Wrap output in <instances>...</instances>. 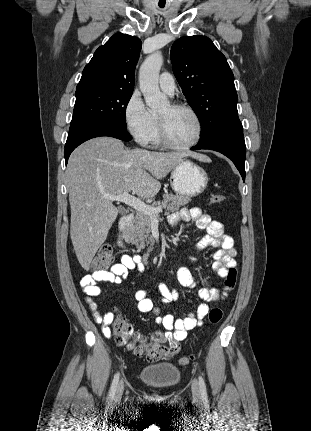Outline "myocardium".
<instances>
[{
  "instance_id": "f54148a6",
  "label": "myocardium",
  "mask_w": 311,
  "mask_h": 431,
  "mask_svg": "<svg viewBox=\"0 0 311 431\" xmlns=\"http://www.w3.org/2000/svg\"><path fill=\"white\" fill-rule=\"evenodd\" d=\"M172 109L174 110H186L193 114V116L196 118L198 122V134L194 141L188 143V144H178L174 142L170 136L167 129V125L164 119L157 116V123H158V139L159 141L170 148L177 149V150H187L190 148L195 147L202 139L204 135V121L200 115V113L192 106L184 103H174L170 105Z\"/></svg>"
}]
</instances>
